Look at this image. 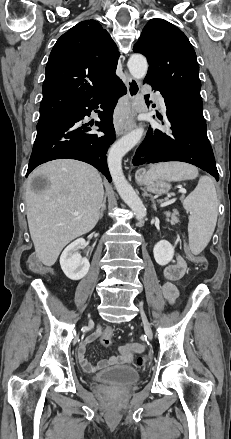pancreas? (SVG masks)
Returning <instances> with one entry per match:
<instances>
[{
	"instance_id": "1",
	"label": "pancreas",
	"mask_w": 231,
	"mask_h": 439,
	"mask_svg": "<svg viewBox=\"0 0 231 439\" xmlns=\"http://www.w3.org/2000/svg\"><path fill=\"white\" fill-rule=\"evenodd\" d=\"M177 215H178V212H176V211L172 215L169 213H166L167 221L170 222L171 225L178 223L179 219L177 218ZM169 217H170V220H169Z\"/></svg>"
}]
</instances>
